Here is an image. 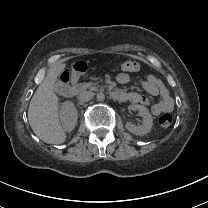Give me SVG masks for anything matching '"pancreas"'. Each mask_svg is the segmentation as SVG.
Returning <instances> with one entry per match:
<instances>
[{
    "instance_id": "1",
    "label": "pancreas",
    "mask_w": 208,
    "mask_h": 208,
    "mask_svg": "<svg viewBox=\"0 0 208 208\" xmlns=\"http://www.w3.org/2000/svg\"><path fill=\"white\" fill-rule=\"evenodd\" d=\"M76 86H80L82 88V90L89 89L91 91H104L103 86H100V85H98L96 83H92V82L80 83V84H77Z\"/></svg>"
}]
</instances>
